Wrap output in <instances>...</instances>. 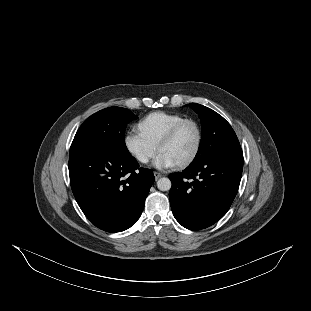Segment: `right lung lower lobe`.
Segmentation results:
<instances>
[{"mask_svg": "<svg viewBox=\"0 0 311 311\" xmlns=\"http://www.w3.org/2000/svg\"><path fill=\"white\" fill-rule=\"evenodd\" d=\"M138 168L129 152L108 146L89 145L70 153L73 194L96 227L121 232L138 220L155 181L151 170Z\"/></svg>", "mask_w": 311, "mask_h": 311, "instance_id": "right-lung-lower-lobe-1", "label": "right lung lower lobe"}]
</instances>
